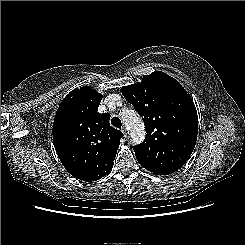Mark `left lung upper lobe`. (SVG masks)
<instances>
[{
  "label": "left lung upper lobe",
  "mask_w": 245,
  "mask_h": 245,
  "mask_svg": "<svg viewBox=\"0 0 245 245\" xmlns=\"http://www.w3.org/2000/svg\"><path fill=\"white\" fill-rule=\"evenodd\" d=\"M121 92L146 128L145 140L133 148L138 162L156 175L180 169L197 139L198 116L191 96L178 81L160 71Z\"/></svg>",
  "instance_id": "left-lung-upper-lobe-1"
}]
</instances>
